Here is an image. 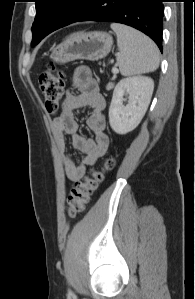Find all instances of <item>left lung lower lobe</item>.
<instances>
[{
	"instance_id": "obj_1",
	"label": "left lung lower lobe",
	"mask_w": 195,
	"mask_h": 299,
	"mask_svg": "<svg viewBox=\"0 0 195 299\" xmlns=\"http://www.w3.org/2000/svg\"><path fill=\"white\" fill-rule=\"evenodd\" d=\"M164 0H91L77 21L117 22L148 35L162 52Z\"/></svg>"
}]
</instances>
